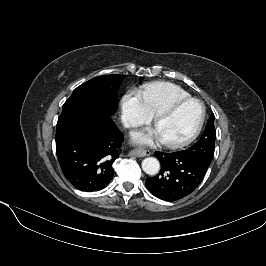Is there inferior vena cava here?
<instances>
[{"label": "inferior vena cava", "mask_w": 266, "mask_h": 266, "mask_svg": "<svg viewBox=\"0 0 266 266\" xmlns=\"http://www.w3.org/2000/svg\"><path fill=\"white\" fill-rule=\"evenodd\" d=\"M121 123L124 127H135L137 125L132 118L127 116L122 117Z\"/></svg>", "instance_id": "inferior-vena-cava-1"}]
</instances>
